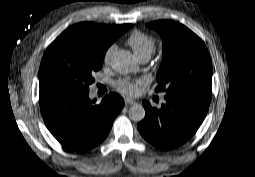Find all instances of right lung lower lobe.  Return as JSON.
I'll return each instance as SVG.
<instances>
[{"label":"right lung lower lobe","instance_id":"98d812e1","mask_svg":"<svg viewBox=\"0 0 255 177\" xmlns=\"http://www.w3.org/2000/svg\"><path fill=\"white\" fill-rule=\"evenodd\" d=\"M95 101L89 99V91H54L39 97L47 128L62 145L78 152L103 142L124 106L123 98L116 93L106 96L100 104Z\"/></svg>","mask_w":255,"mask_h":177}]
</instances>
